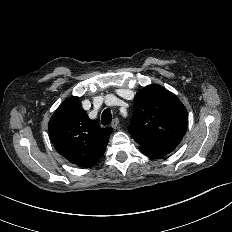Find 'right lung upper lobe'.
<instances>
[{"label": "right lung upper lobe", "instance_id": "cb5924a9", "mask_svg": "<svg viewBox=\"0 0 232 232\" xmlns=\"http://www.w3.org/2000/svg\"><path fill=\"white\" fill-rule=\"evenodd\" d=\"M48 130L56 150L72 164L88 168L104 155L112 133L88 118L78 97L64 100L52 115Z\"/></svg>", "mask_w": 232, "mask_h": 232}]
</instances>
